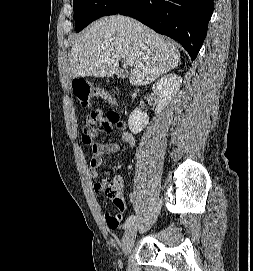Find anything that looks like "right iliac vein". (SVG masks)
Here are the masks:
<instances>
[{
	"label": "right iliac vein",
	"instance_id": "obj_1",
	"mask_svg": "<svg viewBox=\"0 0 253 271\" xmlns=\"http://www.w3.org/2000/svg\"><path fill=\"white\" fill-rule=\"evenodd\" d=\"M136 232H137V225L131 224L126 229V231L123 235L122 242H121V249H122L125 256H127L130 253V251L134 245Z\"/></svg>",
	"mask_w": 253,
	"mask_h": 271
}]
</instances>
